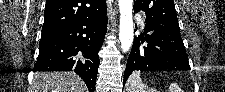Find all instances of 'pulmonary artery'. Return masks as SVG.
<instances>
[{
    "instance_id": "1",
    "label": "pulmonary artery",
    "mask_w": 225,
    "mask_h": 92,
    "mask_svg": "<svg viewBox=\"0 0 225 92\" xmlns=\"http://www.w3.org/2000/svg\"><path fill=\"white\" fill-rule=\"evenodd\" d=\"M137 21L141 26H144V17L141 15L137 16Z\"/></svg>"
}]
</instances>
